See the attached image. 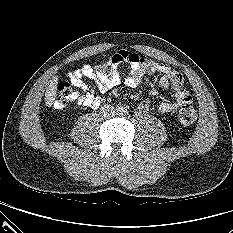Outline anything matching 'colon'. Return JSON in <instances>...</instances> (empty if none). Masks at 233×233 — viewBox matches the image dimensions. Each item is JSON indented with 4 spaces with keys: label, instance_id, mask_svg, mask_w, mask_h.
I'll return each instance as SVG.
<instances>
[{
    "label": "colon",
    "instance_id": "1",
    "mask_svg": "<svg viewBox=\"0 0 233 233\" xmlns=\"http://www.w3.org/2000/svg\"><path fill=\"white\" fill-rule=\"evenodd\" d=\"M104 70L105 66L102 67ZM78 98V92L70 86L67 82H61L57 88V96L55 100V107L61 108ZM197 118V112L191 104L182 106L179 112V120L185 125L192 124Z\"/></svg>",
    "mask_w": 233,
    "mask_h": 233
}]
</instances>
